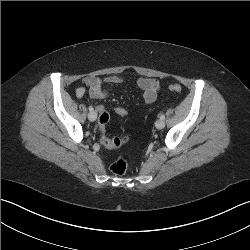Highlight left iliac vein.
Returning <instances> with one entry per match:
<instances>
[{
    "label": "left iliac vein",
    "mask_w": 250,
    "mask_h": 250,
    "mask_svg": "<svg viewBox=\"0 0 250 250\" xmlns=\"http://www.w3.org/2000/svg\"><path fill=\"white\" fill-rule=\"evenodd\" d=\"M155 126L157 129H163L165 127V122L159 119L156 121Z\"/></svg>",
    "instance_id": "left-iliac-vein-1"
}]
</instances>
